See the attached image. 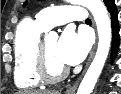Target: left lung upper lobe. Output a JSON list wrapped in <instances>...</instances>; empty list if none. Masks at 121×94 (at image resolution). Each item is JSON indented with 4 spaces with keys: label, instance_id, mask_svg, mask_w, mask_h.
I'll return each instance as SVG.
<instances>
[{
    "label": "left lung upper lobe",
    "instance_id": "1",
    "mask_svg": "<svg viewBox=\"0 0 121 94\" xmlns=\"http://www.w3.org/2000/svg\"><path fill=\"white\" fill-rule=\"evenodd\" d=\"M104 3L106 6H109L110 4L114 3V0H104ZM27 4V2L25 3V5Z\"/></svg>",
    "mask_w": 121,
    "mask_h": 94
}]
</instances>
